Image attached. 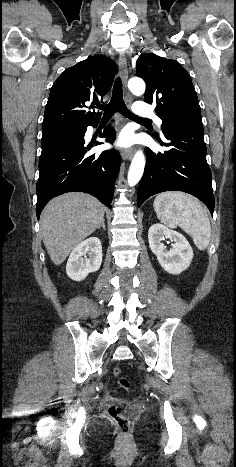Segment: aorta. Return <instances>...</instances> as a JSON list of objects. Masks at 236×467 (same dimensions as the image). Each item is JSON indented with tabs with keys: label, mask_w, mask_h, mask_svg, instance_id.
Wrapping results in <instances>:
<instances>
[{
	"label": "aorta",
	"mask_w": 236,
	"mask_h": 467,
	"mask_svg": "<svg viewBox=\"0 0 236 467\" xmlns=\"http://www.w3.org/2000/svg\"><path fill=\"white\" fill-rule=\"evenodd\" d=\"M128 88L134 95L145 92V82L141 78H132L128 81ZM145 167V156L141 150L137 151L132 159L127 180L129 186H135L141 179Z\"/></svg>",
	"instance_id": "aorta-1"
}]
</instances>
